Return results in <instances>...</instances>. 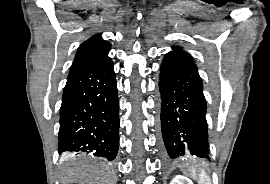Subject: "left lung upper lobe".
I'll use <instances>...</instances> for the list:
<instances>
[{
	"instance_id": "left-lung-upper-lobe-1",
	"label": "left lung upper lobe",
	"mask_w": 270,
	"mask_h": 184,
	"mask_svg": "<svg viewBox=\"0 0 270 184\" xmlns=\"http://www.w3.org/2000/svg\"><path fill=\"white\" fill-rule=\"evenodd\" d=\"M172 49H174V51H176V52H179V53L184 54L185 56H187L188 58H190V59L194 62L192 56H191L190 54H188L187 52H185L184 50H182L181 47H179V46H177V47H172Z\"/></svg>"
}]
</instances>
